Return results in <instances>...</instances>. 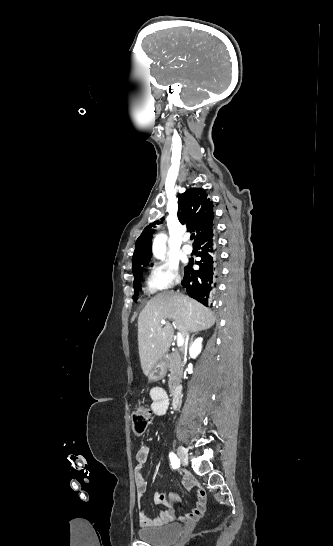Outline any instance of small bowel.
I'll list each match as a JSON object with an SVG mask.
<instances>
[{
    "label": "small bowel",
    "mask_w": 333,
    "mask_h": 546,
    "mask_svg": "<svg viewBox=\"0 0 333 546\" xmlns=\"http://www.w3.org/2000/svg\"><path fill=\"white\" fill-rule=\"evenodd\" d=\"M151 409L156 416H163L169 409L170 399L166 390L162 387H153L150 390ZM149 457V448L147 446H140L137 451L136 459L138 466L134 472L136 496L139 510V522L142 527H160L170 523L174 518V510L172 508L165 509L160 512V515L156 518H149L146 516L142 507V499L148 487V481L142 472V466L146 463ZM182 485L186 490L196 488V502L195 507L184 518L190 521H196L200 519L206 508V492L202 489L196 481L190 476L185 475L182 480ZM177 494L172 493L170 495L156 493L154 496V502L157 505L165 504L169 502V499H176Z\"/></svg>",
    "instance_id": "c3829d8e"
}]
</instances>
